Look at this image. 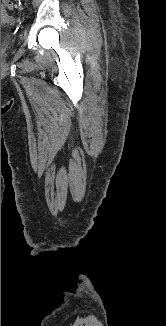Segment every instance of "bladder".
<instances>
[{
    "instance_id": "bladder-1",
    "label": "bladder",
    "mask_w": 166,
    "mask_h": 326,
    "mask_svg": "<svg viewBox=\"0 0 166 326\" xmlns=\"http://www.w3.org/2000/svg\"><path fill=\"white\" fill-rule=\"evenodd\" d=\"M4 12H5L4 8H1V14H4Z\"/></svg>"
}]
</instances>
